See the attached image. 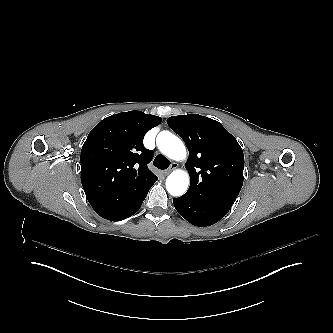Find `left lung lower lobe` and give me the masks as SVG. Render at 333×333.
Wrapping results in <instances>:
<instances>
[{"instance_id":"obj_1","label":"left lung lower lobe","mask_w":333,"mask_h":333,"mask_svg":"<svg viewBox=\"0 0 333 333\" xmlns=\"http://www.w3.org/2000/svg\"><path fill=\"white\" fill-rule=\"evenodd\" d=\"M178 213L195 226H210L222 219L232 206L201 201L183 195L173 199Z\"/></svg>"}]
</instances>
